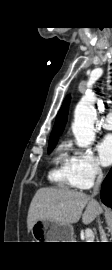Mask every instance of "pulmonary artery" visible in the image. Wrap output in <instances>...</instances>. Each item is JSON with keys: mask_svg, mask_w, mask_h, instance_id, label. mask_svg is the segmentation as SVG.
<instances>
[{"mask_svg": "<svg viewBox=\"0 0 112 270\" xmlns=\"http://www.w3.org/2000/svg\"><path fill=\"white\" fill-rule=\"evenodd\" d=\"M103 128L112 130V113L107 115L102 123Z\"/></svg>", "mask_w": 112, "mask_h": 270, "instance_id": "obj_1", "label": "pulmonary artery"}]
</instances>
